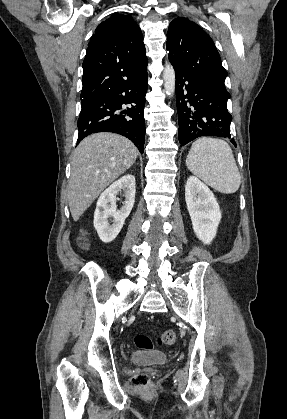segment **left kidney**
<instances>
[{"mask_svg":"<svg viewBox=\"0 0 287 419\" xmlns=\"http://www.w3.org/2000/svg\"><path fill=\"white\" fill-rule=\"evenodd\" d=\"M185 200L196 236L204 244H210L221 220L214 194L197 177L190 176L185 186Z\"/></svg>","mask_w":287,"mask_h":419,"instance_id":"obj_1","label":"left kidney"}]
</instances>
